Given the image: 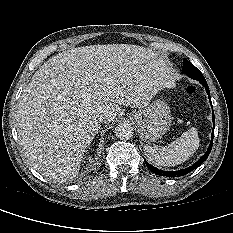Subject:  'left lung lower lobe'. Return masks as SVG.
Masks as SVG:
<instances>
[{"label": "left lung lower lobe", "instance_id": "1", "mask_svg": "<svg viewBox=\"0 0 233 233\" xmlns=\"http://www.w3.org/2000/svg\"><path fill=\"white\" fill-rule=\"evenodd\" d=\"M199 82L205 87V90H206L208 97H209V101L211 102L210 91H209V87L207 85L206 80H200ZM212 119H213V124L215 125L214 113L212 114ZM213 137H214V127H213L211 142H210V145L208 147V150L196 163H194L192 166H190L186 169L179 170V171H163V170H159V169L155 168L154 166L150 165L146 160H145V163H146L147 167L157 175L167 176V177H180V176L186 175L187 173L191 172L192 170H194L195 168L200 166L207 159V157L209 156L211 149H212Z\"/></svg>", "mask_w": 233, "mask_h": 233}]
</instances>
